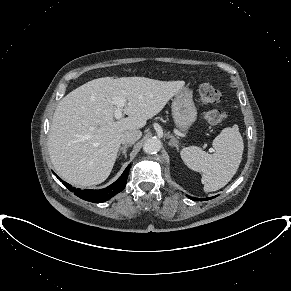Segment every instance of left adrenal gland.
Here are the masks:
<instances>
[{"label": "left adrenal gland", "instance_id": "obj_1", "mask_svg": "<svg viewBox=\"0 0 291 291\" xmlns=\"http://www.w3.org/2000/svg\"><path fill=\"white\" fill-rule=\"evenodd\" d=\"M167 137L170 138L169 145L172 147H176V149L179 150V141L173 135H171L169 132L167 134Z\"/></svg>", "mask_w": 291, "mask_h": 291}]
</instances>
